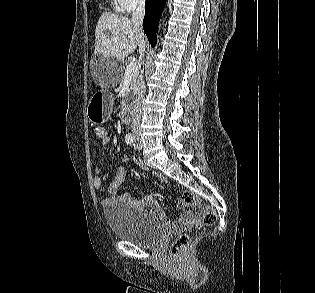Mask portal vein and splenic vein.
Wrapping results in <instances>:
<instances>
[{"mask_svg": "<svg viewBox=\"0 0 315 293\" xmlns=\"http://www.w3.org/2000/svg\"><path fill=\"white\" fill-rule=\"evenodd\" d=\"M137 71V64L135 62H131L129 65H127L126 70H125V78L129 79L131 77H133V75L136 73Z\"/></svg>", "mask_w": 315, "mask_h": 293, "instance_id": "obj_1", "label": "portal vein and splenic vein"}]
</instances>
